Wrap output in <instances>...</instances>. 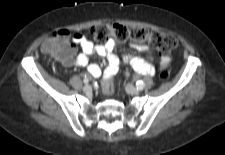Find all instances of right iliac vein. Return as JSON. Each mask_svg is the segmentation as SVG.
<instances>
[{
	"mask_svg": "<svg viewBox=\"0 0 225 155\" xmlns=\"http://www.w3.org/2000/svg\"><path fill=\"white\" fill-rule=\"evenodd\" d=\"M91 90H92V87H91L90 85H85V86L83 87V91H84L85 93H89V92H91Z\"/></svg>",
	"mask_w": 225,
	"mask_h": 155,
	"instance_id": "1",
	"label": "right iliac vein"
}]
</instances>
